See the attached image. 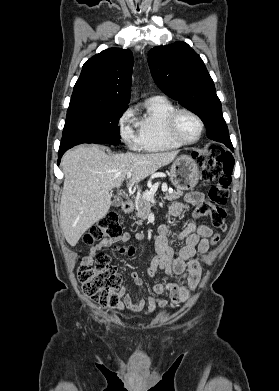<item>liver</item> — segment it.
Returning <instances> with one entry per match:
<instances>
[{"label": "liver", "instance_id": "obj_1", "mask_svg": "<svg viewBox=\"0 0 279 391\" xmlns=\"http://www.w3.org/2000/svg\"><path fill=\"white\" fill-rule=\"evenodd\" d=\"M178 152L110 154L97 146H79L62 159L65 175L59 223L66 241L75 246L102 219L112 204L109 191L120 187L128 173L133 185L170 164Z\"/></svg>", "mask_w": 279, "mask_h": 391}]
</instances>
